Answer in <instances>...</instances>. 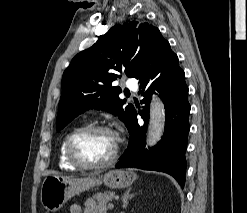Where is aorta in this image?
Here are the masks:
<instances>
[{
	"label": "aorta",
	"mask_w": 247,
	"mask_h": 213,
	"mask_svg": "<svg viewBox=\"0 0 247 213\" xmlns=\"http://www.w3.org/2000/svg\"><path fill=\"white\" fill-rule=\"evenodd\" d=\"M165 128V109L157 95L152 96L150 104V122L147 134V145L154 146L162 137Z\"/></svg>",
	"instance_id": "1"
}]
</instances>
